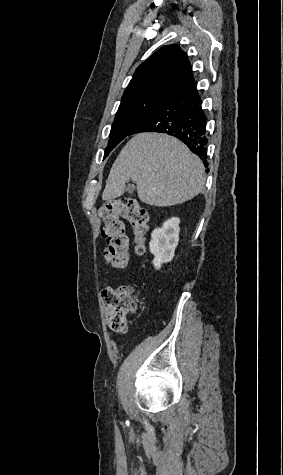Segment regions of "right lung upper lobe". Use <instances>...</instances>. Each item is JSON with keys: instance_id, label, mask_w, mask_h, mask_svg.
Listing matches in <instances>:
<instances>
[{"instance_id": "right-lung-upper-lobe-1", "label": "right lung upper lobe", "mask_w": 283, "mask_h": 475, "mask_svg": "<svg viewBox=\"0 0 283 475\" xmlns=\"http://www.w3.org/2000/svg\"><path fill=\"white\" fill-rule=\"evenodd\" d=\"M193 80L187 55L178 45H167L136 69L122 100L159 89L175 90Z\"/></svg>"}]
</instances>
